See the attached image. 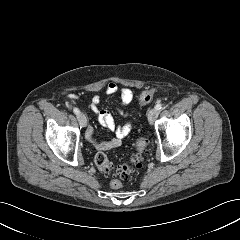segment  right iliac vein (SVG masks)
<instances>
[{"instance_id":"1","label":"right iliac vein","mask_w":240,"mask_h":240,"mask_svg":"<svg viewBox=\"0 0 240 240\" xmlns=\"http://www.w3.org/2000/svg\"><path fill=\"white\" fill-rule=\"evenodd\" d=\"M80 126L85 127L87 124V118L83 113H79L77 116Z\"/></svg>"}]
</instances>
